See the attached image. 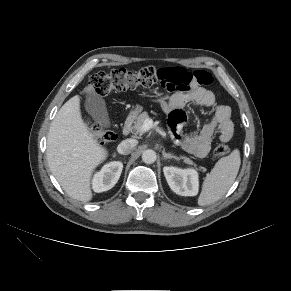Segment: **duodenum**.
Wrapping results in <instances>:
<instances>
[{"label": "duodenum", "mask_w": 291, "mask_h": 291, "mask_svg": "<svg viewBox=\"0 0 291 291\" xmlns=\"http://www.w3.org/2000/svg\"><path fill=\"white\" fill-rule=\"evenodd\" d=\"M133 120H134V116L133 115H129L126 118V120H125V122L123 124V127H122V133H123L124 136L129 135V133L131 132Z\"/></svg>", "instance_id": "1"}]
</instances>
